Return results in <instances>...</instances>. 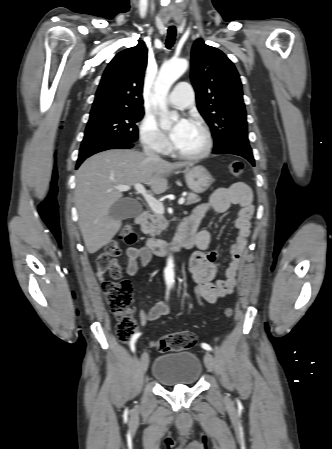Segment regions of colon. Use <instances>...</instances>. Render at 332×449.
I'll list each match as a JSON object with an SVG mask.
<instances>
[{"instance_id": "5ec220e1", "label": "colon", "mask_w": 332, "mask_h": 449, "mask_svg": "<svg viewBox=\"0 0 332 449\" xmlns=\"http://www.w3.org/2000/svg\"><path fill=\"white\" fill-rule=\"evenodd\" d=\"M229 171L235 178H240L244 174V164L241 161H232L229 164ZM120 237L127 243H133L136 235L132 227H124L121 230ZM122 254L119 242L111 241L97 257L98 272L101 278H104L107 271L112 278L117 279L121 273V267L117 257ZM102 291L110 312L119 321L116 332L120 340L129 341L133 333H136V322L130 315L129 307L132 302L133 288L128 280L108 281L103 280ZM226 318H232L233 309L228 307L224 310ZM195 343V335L192 332H175L161 337L153 343V346L160 352L181 351L191 348Z\"/></svg>"}]
</instances>
